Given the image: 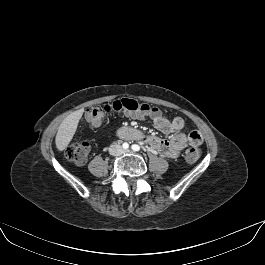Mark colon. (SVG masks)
Here are the masks:
<instances>
[{
  "label": "colon",
  "mask_w": 265,
  "mask_h": 265,
  "mask_svg": "<svg viewBox=\"0 0 265 265\" xmlns=\"http://www.w3.org/2000/svg\"><path fill=\"white\" fill-rule=\"evenodd\" d=\"M111 112L138 114L145 117H155L161 114L158 108L150 106L145 102H139L138 100L132 98H121L104 106H95L90 108L86 112V120L91 125L97 126L102 122L104 115ZM90 151L91 145L88 141L75 140L72 141L66 148L65 156L70 161L83 164L87 161ZM200 156L201 151L197 147H192L186 152V159L189 162L197 161Z\"/></svg>",
  "instance_id": "1"
}]
</instances>
